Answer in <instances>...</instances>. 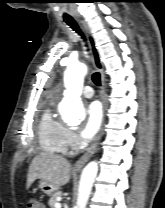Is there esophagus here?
<instances>
[{"instance_id": "esophagus-1", "label": "esophagus", "mask_w": 165, "mask_h": 208, "mask_svg": "<svg viewBox=\"0 0 165 208\" xmlns=\"http://www.w3.org/2000/svg\"><path fill=\"white\" fill-rule=\"evenodd\" d=\"M82 25H83L84 30L86 31V34H87L89 46H90L91 53H92L93 65L101 74V93H100L101 95L100 96H101V101H102V104H103V109H104V112H105L106 108H107V104H106V99H105L106 78H105V75H104V66H103V63L101 61L98 49L96 47L94 36H93L89 26L86 23H82ZM103 130L104 129L102 127L100 129L98 135L96 136L94 142L92 143V145L87 149L85 154L83 156H81V158L75 163V165H74L75 170L82 169V167L87 163V161L96 152L99 141H100V139L103 135Z\"/></svg>"}]
</instances>
